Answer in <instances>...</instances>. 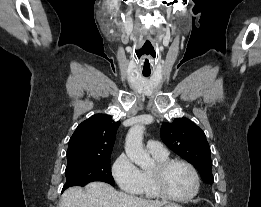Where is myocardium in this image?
Instances as JSON below:
<instances>
[{
  "label": "myocardium",
  "instance_id": "obj_1",
  "mask_svg": "<svg viewBox=\"0 0 261 207\" xmlns=\"http://www.w3.org/2000/svg\"><path fill=\"white\" fill-rule=\"evenodd\" d=\"M175 164H181L184 165L189 169V171L192 174L193 180H194V189L193 191L184 197H177L172 194H170L165 185H164V177L167 172V170L175 165ZM151 179L154 185V188L159 196H161L164 199L174 201V202H187L192 200L197 196L200 190V178L199 175L195 169V167L189 163L186 160L183 159H167L165 161H162L160 163H157L153 170L151 171Z\"/></svg>",
  "mask_w": 261,
  "mask_h": 207
}]
</instances>
